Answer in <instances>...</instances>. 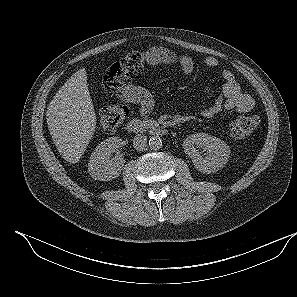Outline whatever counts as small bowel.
Instances as JSON below:
<instances>
[{
    "mask_svg": "<svg viewBox=\"0 0 297 297\" xmlns=\"http://www.w3.org/2000/svg\"><path fill=\"white\" fill-rule=\"evenodd\" d=\"M146 60L150 65H173L178 66L182 73L189 75L195 69V62L189 56L177 55L173 51L163 47H151L146 51ZM206 67L218 68L220 63L214 57H206L203 60ZM223 86L222 94L210 106L202 111V115L211 118L224 110H236L248 112L254 106L253 98L241 90L235 80L234 74L229 70L222 72ZM124 102L134 103L140 106L143 115L149 114L154 106L151 93L140 86L133 84L124 85L117 94Z\"/></svg>",
    "mask_w": 297,
    "mask_h": 297,
    "instance_id": "obj_1",
    "label": "small bowel"
}]
</instances>
